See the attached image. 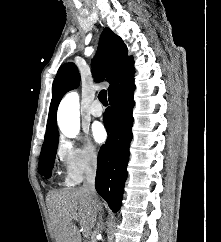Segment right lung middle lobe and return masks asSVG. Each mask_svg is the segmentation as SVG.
Here are the masks:
<instances>
[{
    "label": "right lung middle lobe",
    "instance_id": "obj_1",
    "mask_svg": "<svg viewBox=\"0 0 221 242\" xmlns=\"http://www.w3.org/2000/svg\"><path fill=\"white\" fill-rule=\"evenodd\" d=\"M59 135L44 139L39 159V173L49 178L53 168Z\"/></svg>",
    "mask_w": 221,
    "mask_h": 242
}]
</instances>
